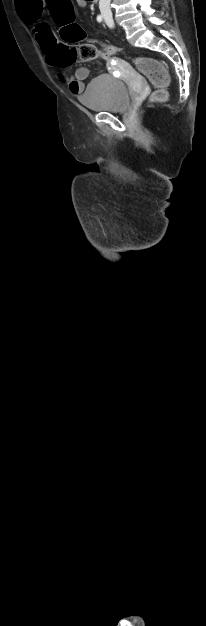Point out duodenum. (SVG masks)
Masks as SVG:
<instances>
[{
  "mask_svg": "<svg viewBox=\"0 0 206 626\" xmlns=\"http://www.w3.org/2000/svg\"><path fill=\"white\" fill-rule=\"evenodd\" d=\"M90 1L93 2V3H96L98 0H90Z\"/></svg>",
  "mask_w": 206,
  "mask_h": 626,
  "instance_id": "obj_1",
  "label": "duodenum"
}]
</instances>
